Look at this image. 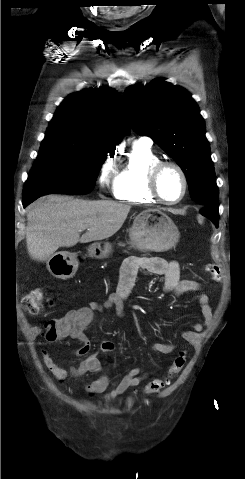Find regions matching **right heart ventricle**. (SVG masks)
<instances>
[{"label":"right heart ventricle","mask_w":245,"mask_h":479,"mask_svg":"<svg viewBox=\"0 0 245 479\" xmlns=\"http://www.w3.org/2000/svg\"><path fill=\"white\" fill-rule=\"evenodd\" d=\"M161 161L151 145L136 141L130 148L126 161L114 179L116 199L130 203L153 204L157 199L150 193L148 177L151 168Z\"/></svg>","instance_id":"1"}]
</instances>
